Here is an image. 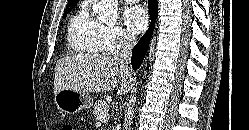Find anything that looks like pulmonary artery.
I'll return each mask as SVG.
<instances>
[{
  "label": "pulmonary artery",
  "mask_w": 249,
  "mask_h": 130,
  "mask_svg": "<svg viewBox=\"0 0 249 130\" xmlns=\"http://www.w3.org/2000/svg\"><path fill=\"white\" fill-rule=\"evenodd\" d=\"M125 1L128 2V3H135V2H137L139 0H125Z\"/></svg>",
  "instance_id": "1"
}]
</instances>
